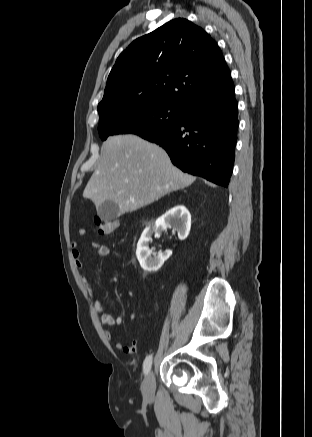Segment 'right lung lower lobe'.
I'll return each mask as SVG.
<instances>
[{"mask_svg":"<svg viewBox=\"0 0 312 437\" xmlns=\"http://www.w3.org/2000/svg\"><path fill=\"white\" fill-rule=\"evenodd\" d=\"M238 124L235 87L230 78L217 91L184 107L176 125L145 139L163 147L182 171L228 187Z\"/></svg>","mask_w":312,"mask_h":437,"instance_id":"1","label":"right lung lower lobe"}]
</instances>
